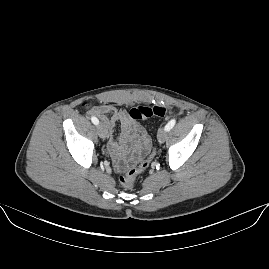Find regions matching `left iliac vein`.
Wrapping results in <instances>:
<instances>
[{
    "instance_id": "left-iliac-vein-1",
    "label": "left iliac vein",
    "mask_w": 269,
    "mask_h": 269,
    "mask_svg": "<svg viewBox=\"0 0 269 269\" xmlns=\"http://www.w3.org/2000/svg\"><path fill=\"white\" fill-rule=\"evenodd\" d=\"M166 136H167V131L165 130V128H162L158 131L157 139L160 143H163L166 139Z\"/></svg>"
}]
</instances>
